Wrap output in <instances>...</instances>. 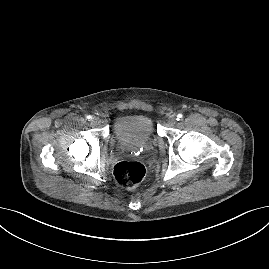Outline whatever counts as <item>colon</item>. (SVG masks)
<instances>
[{"label": "colon", "instance_id": "obj_1", "mask_svg": "<svg viewBox=\"0 0 269 269\" xmlns=\"http://www.w3.org/2000/svg\"><path fill=\"white\" fill-rule=\"evenodd\" d=\"M146 170L138 161H121L114 167L116 182L126 188H133L145 177Z\"/></svg>", "mask_w": 269, "mask_h": 269}]
</instances>
